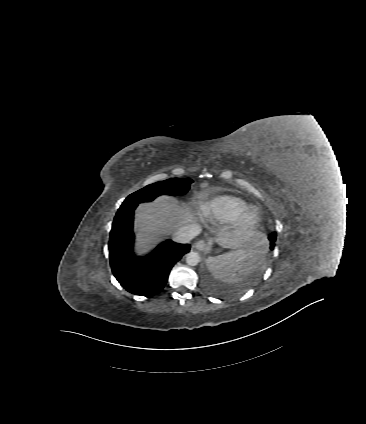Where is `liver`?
I'll list each match as a JSON object with an SVG mask.
<instances>
[{
  "mask_svg": "<svg viewBox=\"0 0 366 424\" xmlns=\"http://www.w3.org/2000/svg\"><path fill=\"white\" fill-rule=\"evenodd\" d=\"M193 219L191 207L179 204L170 196H161L153 203L138 206L135 217L138 254H148L164 236L173 234L182 226L190 225ZM197 228L200 232L201 229ZM259 238L260 235L250 229H240L234 235L221 234L216 242L223 247L237 249L251 246Z\"/></svg>",
  "mask_w": 366,
  "mask_h": 424,
  "instance_id": "obj_1",
  "label": "liver"
}]
</instances>
